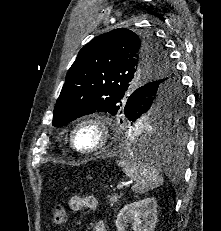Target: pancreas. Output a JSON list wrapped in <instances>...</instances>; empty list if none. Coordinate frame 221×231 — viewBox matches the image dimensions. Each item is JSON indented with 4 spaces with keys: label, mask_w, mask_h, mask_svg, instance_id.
Segmentation results:
<instances>
[{
    "label": "pancreas",
    "mask_w": 221,
    "mask_h": 231,
    "mask_svg": "<svg viewBox=\"0 0 221 231\" xmlns=\"http://www.w3.org/2000/svg\"><path fill=\"white\" fill-rule=\"evenodd\" d=\"M121 196H122L121 194H115L113 196H108V201L110 204H115L119 201Z\"/></svg>",
    "instance_id": "cf45deb5"
}]
</instances>
